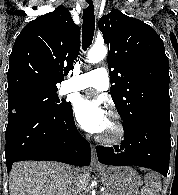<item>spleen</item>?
<instances>
[{
	"label": "spleen",
	"instance_id": "1",
	"mask_svg": "<svg viewBox=\"0 0 178 195\" xmlns=\"http://www.w3.org/2000/svg\"><path fill=\"white\" fill-rule=\"evenodd\" d=\"M145 183L153 195H156L161 190V180L157 174H147L145 176Z\"/></svg>",
	"mask_w": 178,
	"mask_h": 195
}]
</instances>
